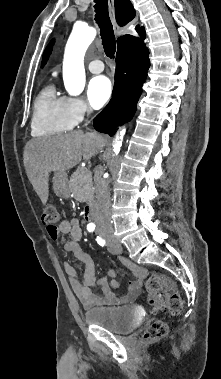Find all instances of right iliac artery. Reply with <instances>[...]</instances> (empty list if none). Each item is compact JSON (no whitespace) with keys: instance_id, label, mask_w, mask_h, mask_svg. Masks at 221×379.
Returning <instances> with one entry per match:
<instances>
[{"instance_id":"right-iliac-artery-1","label":"right iliac artery","mask_w":221,"mask_h":379,"mask_svg":"<svg viewBox=\"0 0 221 379\" xmlns=\"http://www.w3.org/2000/svg\"><path fill=\"white\" fill-rule=\"evenodd\" d=\"M94 229H95V225L93 223H90V224L87 225V230L89 232H93Z\"/></svg>"}]
</instances>
